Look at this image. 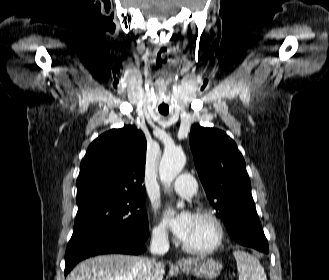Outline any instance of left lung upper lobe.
<instances>
[{"mask_svg": "<svg viewBox=\"0 0 329 280\" xmlns=\"http://www.w3.org/2000/svg\"><path fill=\"white\" fill-rule=\"evenodd\" d=\"M189 142L207 197L228 228L242 223L254 204L245 161L222 130L195 124ZM255 205V204H254Z\"/></svg>", "mask_w": 329, "mask_h": 280, "instance_id": "5c2ea615", "label": "left lung upper lobe"}]
</instances>
